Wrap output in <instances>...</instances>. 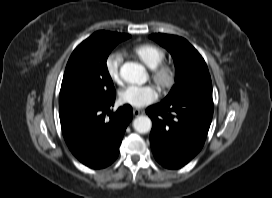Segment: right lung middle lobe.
Wrapping results in <instances>:
<instances>
[{
  "label": "right lung middle lobe",
  "instance_id": "obj_1",
  "mask_svg": "<svg viewBox=\"0 0 272 198\" xmlns=\"http://www.w3.org/2000/svg\"><path fill=\"white\" fill-rule=\"evenodd\" d=\"M130 35L107 37L93 42L68 61L59 95V107L103 103L116 96L106 60L111 50Z\"/></svg>",
  "mask_w": 272,
  "mask_h": 198
}]
</instances>
